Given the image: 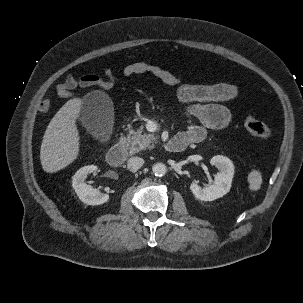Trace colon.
<instances>
[{
    "instance_id": "obj_1",
    "label": "colon",
    "mask_w": 303,
    "mask_h": 303,
    "mask_svg": "<svg viewBox=\"0 0 303 303\" xmlns=\"http://www.w3.org/2000/svg\"><path fill=\"white\" fill-rule=\"evenodd\" d=\"M116 84L115 76L104 77L102 80V88L109 90L113 88ZM244 128L254 136H257L260 139L268 140L272 136V130L263 122L255 119L252 116H245L243 118Z\"/></svg>"
}]
</instances>
